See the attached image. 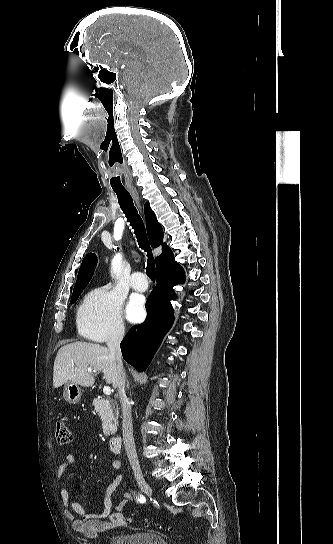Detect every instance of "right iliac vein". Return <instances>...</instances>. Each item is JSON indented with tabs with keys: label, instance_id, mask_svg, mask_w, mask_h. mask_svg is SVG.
I'll use <instances>...</instances> for the list:
<instances>
[{
	"label": "right iliac vein",
	"instance_id": "obj_1",
	"mask_svg": "<svg viewBox=\"0 0 333 544\" xmlns=\"http://www.w3.org/2000/svg\"><path fill=\"white\" fill-rule=\"evenodd\" d=\"M135 477L138 482L139 487L142 489V491L148 496L151 497L153 492L148 483L145 481L142 473L140 470H135Z\"/></svg>",
	"mask_w": 333,
	"mask_h": 544
}]
</instances>
